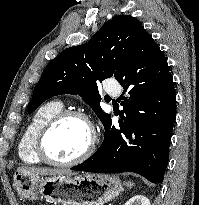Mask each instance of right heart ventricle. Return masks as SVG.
Segmentation results:
<instances>
[{
    "label": "right heart ventricle",
    "instance_id": "obj_1",
    "mask_svg": "<svg viewBox=\"0 0 199 205\" xmlns=\"http://www.w3.org/2000/svg\"><path fill=\"white\" fill-rule=\"evenodd\" d=\"M63 108L62 102L53 100L40 106L26 125L21 136L18 154L20 159L30 165L40 164L42 161L35 153V139L40 128Z\"/></svg>",
    "mask_w": 199,
    "mask_h": 205
}]
</instances>
